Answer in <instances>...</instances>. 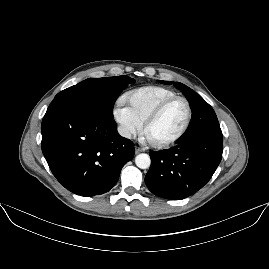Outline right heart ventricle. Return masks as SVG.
Instances as JSON below:
<instances>
[{
    "label": "right heart ventricle",
    "mask_w": 269,
    "mask_h": 269,
    "mask_svg": "<svg viewBox=\"0 0 269 269\" xmlns=\"http://www.w3.org/2000/svg\"><path fill=\"white\" fill-rule=\"evenodd\" d=\"M177 93L164 87H146L128 94L130 110L143 125L148 115L163 102L176 97Z\"/></svg>",
    "instance_id": "obj_1"
}]
</instances>
